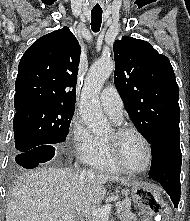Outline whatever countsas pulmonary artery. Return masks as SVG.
Segmentation results:
<instances>
[{
    "label": "pulmonary artery",
    "instance_id": "1",
    "mask_svg": "<svg viewBox=\"0 0 190 221\" xmlns=\"http://www.w3.org/2000/svg\"><path fill=\"white\" fill-rule=\"evenodd\" d=\"M100 103L105 112L115 121H122L123 101L114 86L104 88L100 94Z\"/></svg>",
    "mask_w": 190,
    "mask_h": 221
}]
</instances>
